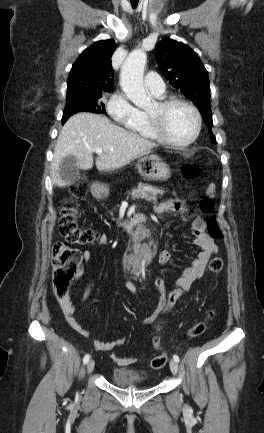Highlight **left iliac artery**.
<instances>
[{"label": "left iliac artery", "instance_id": "left-iliac-artery-1", "mask_svg": "<svg viewBox=\"0 0 264 433\" xmlns=\"http://www.w3.org/2000/svg\"><path fill=\"white\" fill-rule=\"evenodd\" d=\"M173 359H174L176 362H179V357H178V355H174V356H173Z\"/></svg>", "mask_w": 264, "mask_h": 433}]
</instances>
